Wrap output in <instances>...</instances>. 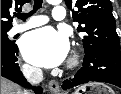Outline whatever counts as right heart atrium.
I'll return each mask as SVG.
<instances>
[{"instance_id": "1", "label": "right heart atrium", "mask_w": 121, "mask_h": 94, "mask_svg": "<svg viewBox=\"0 0 121 94\" xmlns=\"http://www.w3.org/2000/svg\"><path fill=\"white\" fill-rule=\"evenodd\" d=\"M22 70L25 74H35L36 73V69L29 64H24L22 66Z\"/></svg>"}]
</instances>
